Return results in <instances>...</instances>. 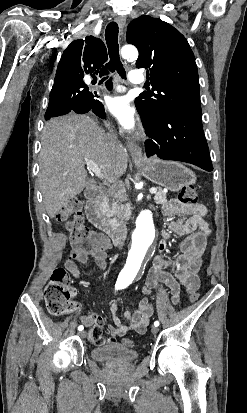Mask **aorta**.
<instances>
[{
	"mask_svg": "<svg viewBox=\"0 0 247 413\" xmlns=\"http://www.w3.org/2000/svg\"><path fill=\"white\" fill-rule=\"evenodd\" d=\"M121 55L127 60H137L138 50L132 45H125L121 49ZM154 237V224L152 213L149 210H143L136 220V230L134 232V242L129 254L127 265L124 273L126 277H132L140 269L142 260L145 256L148 246Z\"/></svg>",
	"mask_w": 247,
	"mask_h": 413,
	"instance_id": "obj_1",
	"label": "aorta"
}]
</instances>
